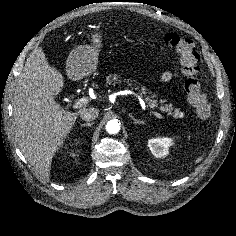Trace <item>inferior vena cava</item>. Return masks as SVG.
<instances>
[{"label":"inferior vena cava","mask_w":236,"mask_h":236,"mask_svg":"<svg viewBox=\"0 0 236 236\" xmlns=\"http://www.w3.org/2000/svg\"><path fill=\"white\" fill-rule=\"evenodd\" d=\"M99 115V110L94 107L83 108L80 110V117L85 121L95 120Z\"/></svg>","instance_id":"602c4592"}]
</instances>
